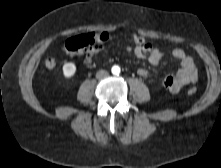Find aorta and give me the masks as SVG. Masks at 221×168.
<instances>
[{
    "mask_svg": "<svg viewBox=\"0 0 221 168\" xmlns=\"http://www.w3.org/2000/svg\"><path fill=\"white\" fill-rule=\"evenodd\" d=\"M119 72H120V68H119V67L114 66V67L112 68V73H113V74H118Z\"/></svg>",
    "mask_w": 221,
    "mask_h": 168,
    "instance_id": "obj_1",
    "label": "aorta"
}]
</instances>
